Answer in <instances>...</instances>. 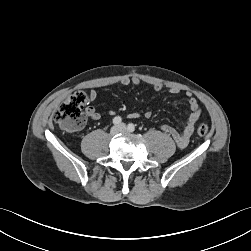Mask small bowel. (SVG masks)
Wrapping results in <instances>:
<instances>
[{
    "instance_id": "obj_1",
    "label": "small bowel",
    "mask_w": 251,
    "mask_h": 251,
    "mask_svg": "<svg viewBox=\"0 0 251 251\" xmlns=\"http://www.w3.org/2000/svg\"><path fill=\"white\" fill-rule=\"evenodd\" d=\"M139 83H140V79L136 76H133V77L124 76L120 80V84L122 85H129V84L138 85ZM153 89L155 91H160L162 89V85L159 83H156L153 85ZM180 91H181L180 89L175 88V87L170 89V92L173 94H178L180 93ZM97 95L98 94L95 90H91L89 92V101L90 102L95 101L97 98ZM186 96L189 102L190 113L188 114L186 118L182 132L179 133L174 128L168 125L162 126V130L168 135H170L172 139L175 141V143L177 144V146H179L180 148H184L188 145L190 138L194 133L195 124L198 121L201 114L199 104L197 100L193 97V95L190 92H187ZM85 113L87 117L95 121L101 118V114L93 106H87L85 109ZM141 116L142 114L137 113V112L129 114L130 118H140ZM143 116L146 118H150L152 116V113L151 111H146L143 114Z\"/></svg>"
}]
</instances>
